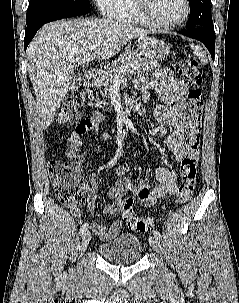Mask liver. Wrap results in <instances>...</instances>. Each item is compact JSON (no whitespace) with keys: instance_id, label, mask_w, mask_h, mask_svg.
<instances>
[{"instance_id":"6515ba94","label":"liver","mask_w":239,"mask_h":303,"mask_svg":"<svg viewBox=\"0 0 239 303\" xmlns=\"http://www.w3.org/2000/svg\"><path fill=\"white\" fill-rule=\"evenodd\" d=\"M147 34L111 19L60 20L43 26L26 52L42 128L50 126L77 67L93 59H109L132 39ZM92 45L97 48L89 53Z\"/></svg>"}]
</instances>
